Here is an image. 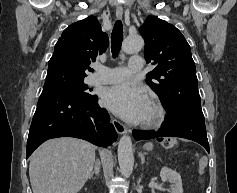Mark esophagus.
<instances>
[{
  "mask_svg": "<svg viewBox=\"0 0 237 193\" xmlns=\"http://www.w3.org/2000/svg\"><path fill=\"white\" fill-rule=\"evenodd\" d=\"M116 16L118 19H121L123 16V8L121 6L117 7L116 9ZM113 125L116 132L120 135L125 134L127 132V128L118 120H113Z\"/></svg>",
  "mask_w": 237,
  "mask_h": 193,
  "instance_id": "esophagus-1",
  "label": "esophagus"
}]
</instances>
